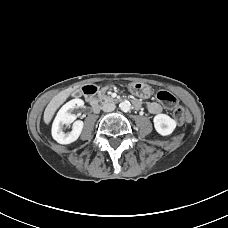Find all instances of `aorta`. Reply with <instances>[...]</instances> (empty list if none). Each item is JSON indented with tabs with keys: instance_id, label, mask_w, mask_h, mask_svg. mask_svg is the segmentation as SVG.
<instances>
[{
	"instance_id": "obj_1",
	"label": "aorta",
	"mask_w": 228,
	"mask_h": 228,
	"mask_svg": "<svg viewBox=\"0 0 228 228\" xmlns=\"http://www.w3.org/2000/svg\"><path fill=\"white\" fill-rule=\"evenodd\" d=\"M119 107L123 112H128L131 108V104L129 101H123L119 104Z\"/></svg>"
}]
</instances>
